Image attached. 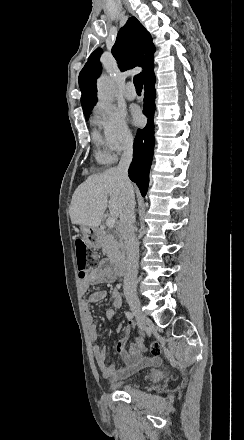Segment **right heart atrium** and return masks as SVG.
<instances>
[{"label": "right heart atrium", "instance_id": "right-heart-atrium-1", "mask_svg": "<svg viewBox=\"0 0 244 440\" xmlns=\"http://www.w3.org/2000/svg\"><path fill=\"white\" fill-rule=\"evenodd\" d=\"M92 118L93 123L102 130L104 153L109 158L130 147L133 135L122 111L99 101L93 108Z\"/></svg>", "mask_w": 244, "mask_h": 440}]
</instances>
